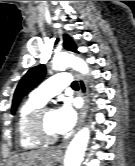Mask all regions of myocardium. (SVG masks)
<instances>
[{"mask_svg": "<svg viewBox=\"0 0 135 166\" xmlns=\"http://www.w3.org/2000/svg\"><path fill=\"white\" fill-rule=\"evenodd\" d=\"M52 111V108L43 105L35 110H33L26 119L25 129L27 134L38 141L40 144H52L58 140V135L50 136L43 128V117L44 115Z\"/></svg>", "mask_w": 135, "mask_h": 166, "instance_id": "obj_1", "label": "myocardium"}]
</instances>
